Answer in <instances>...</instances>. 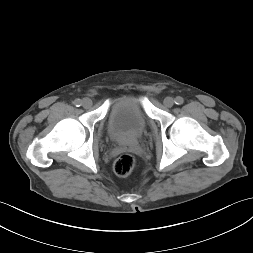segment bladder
Returning <instances> with one entry per match:
<instances>
[{"mask_svg":"<svg viewBox=\"0 0 253 253\" xmlns=\"http://www.w3.org/2000/svg\"><path fill=\"white\" fill-rule=\"evenodd\" d=\"M147 119L139 101L130 95L115 99L108 113V133L116 142L139 138L146 130Z\"/></svg>","mask_w":253,"mask_h":253,"instance_id":"obj_1","label":"bladder"}]
</instances>
